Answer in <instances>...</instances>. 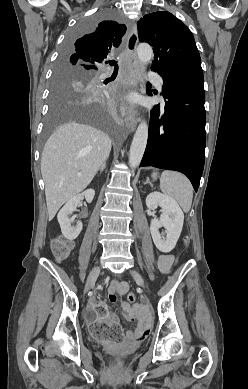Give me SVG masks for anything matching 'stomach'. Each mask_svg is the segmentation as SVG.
Listing matches in <instances>:
<instances>
[{
	"mask_svg": "<svg viewBox=\"0 0 248 389\" xmlns=\"http://www.w3.org/2000/svg\"><path fill=\"white\" fill-rule=\"evenodd\" d=\"M151 177H152L153 180H156L158 178V173L157 172H153Z\"/></svg>",
	"mask_w": 248,
	"mask_h": 389,
	"instance_id": "stomach-1",
	"label": "stomach"
}]
</instances>
